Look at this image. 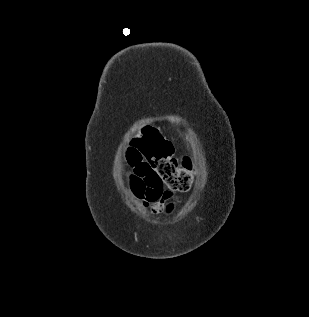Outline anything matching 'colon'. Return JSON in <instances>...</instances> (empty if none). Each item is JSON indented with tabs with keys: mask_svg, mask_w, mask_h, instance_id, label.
<instances>
[{
	"mask_svg": "<svg viewBox=\"0 0 309 317\" xmlns=\"http://www.w3.org/2000/svg\"><path fill=\"white\" fill-rule=\"evenodd\" d=\"M128 155V161L139 163L145 160L160 184L176 192L187 191L193 182L194 168L188 156L181 160L173 156L171 142L152 127H145Z\"/></svg>",
	"mask_w": 309,
	"mask_h": 317,
	"instance_id": "colon-1",
	"label": "colon"
}]
</instances>
